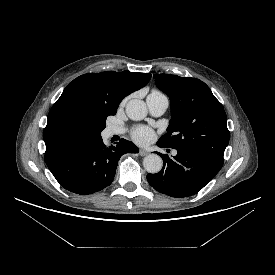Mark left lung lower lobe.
<instances>
[{"label":"left lung lower lobe","mask_w":275,"mask_h":275,"mask_svg":"<svg viewBox=\"0 0 275 275\" xmlns=\"http://www.w3.org/2000/svg\"><path fill=\"white\" fill-rule=\"evenodd\" d=\"M159 147H166L157 142ZM177 150V155L169 158L159 154L163 159V168L156 174H148L149 184L158 192L171 197H187L199 192L223 166L197 152Z\"/></svg>","instance_id":"left-lung-lower-lobe-1"}]
</instances>
